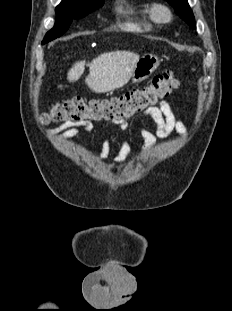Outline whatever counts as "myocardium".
<instances>
[{
    "mask_svg": "<svg viewBox=\"0 0 232 311\" xmlns=\"http://www.w3.org/2000/svg\"><path fill=\"white\" fill-rule=\"evenodd\" d=\"M151 16L157 23H168L172 19V11L167 5L157 3L151 7Z\"/></svg>",
    "mask_w": 232,
    "mask_h": 311,
    "instance_id": "1",
    "label": "myocardium"
}]
</instances>
